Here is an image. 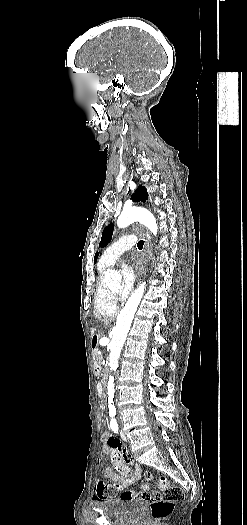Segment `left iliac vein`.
<instances>
[{"label": "left iliac vein", "instance_id": "left-iliac-vein-1", "mask_svg": "<svg viewBox=\"0 0 247 525\" xmlns=\"http://www.w3.org/2000/svg\"><path fill=\"white\" fill-rule=\"evenodd\" d=\"M120 436H121L123 441H127V436L125 435V433L121 432Z\"/></svg>", "mask_w": 247, "mask_h": 525}]
</instances>
